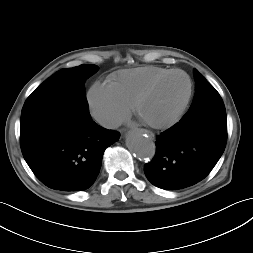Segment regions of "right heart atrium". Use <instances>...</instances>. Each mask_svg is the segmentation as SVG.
Returning <instances> with one entry per match:
<instances>
[{
	"mask_svg": "<svg viewBox=\"0 0 253 253\" xmlns=\"http://www.w3.org/2000/svg\"><path fill=\"white\" fill-rule=\"evenodd\" d=\"M93 117L106 127H115L129 115L130 108L120 99L109 84L95 82L87 94Z\"/></svg>",
	"mask_w": 253,
	"mask_h": 253,
	"instance_id": "1",
	"label": "right heart atrium"
}]
</instances>
